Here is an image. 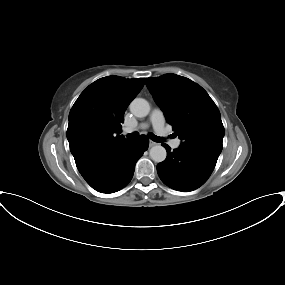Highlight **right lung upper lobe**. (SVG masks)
<instances>
[{
    "instance_id": "obj_1",
    "label": "right lung upper lobe",
    "mask_w": 285,
    "mask_h": 285,
    "mask_svg": "<svg viewBox=\"0 0 285 285\" xmlns=\"http://www.w3.org/2000/svg\"><path fill=\"white\" fill-rule=\"evenodd\" d=\"M145 79L119 76L100 78L78 97L69 113L67 139L75 162L118 142L124 113L129 103L144 86Z\"/></svg>"
}]
</instances>
